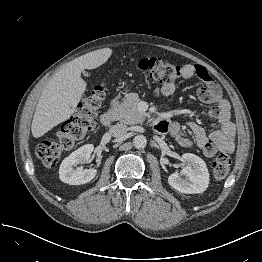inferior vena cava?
I'll list each match as a JSON object with an SVG mask.
<instances>
[{"mask_svg": "<svg viewBox=\"0 0 262 262\" xmlns=\"http://www.w3.org/2000/svg\"><path fill=\"white\" fill-rule=\"evenodd\" d=\"M128 132V128L123 124H116L110 128V134L115 138H121Z\"/></svg>", "mask_w": 262, "mask_h": 262, "instance_id": "obj_1", "label": "inferior vena cava"}]
</instances>
